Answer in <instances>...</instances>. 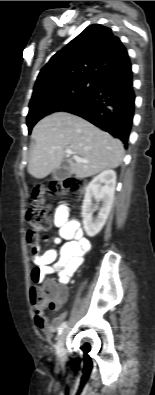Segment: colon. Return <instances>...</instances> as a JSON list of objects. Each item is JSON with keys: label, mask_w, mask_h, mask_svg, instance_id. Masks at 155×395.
Instances as JSON below:
<instances>
[{"label": "colon", "mask_w": 155, "mask_h": 395, "mask_svg": "<svg viewBox=\"0 0 155 395\" xmlns=\"http://www.w3.org/2000/svg\"><path fill=\"white\" fill-rule=\"evenodd\" d=\"M84 187V181L75 177H68L60 181H52L48 185V190L53 194H63L65 192H77ZM45 190L36 188L33 193V202L26 212V220L30 229L27 232V243L32 247L34 240H41L44 234L51 228L50 207L45 198ZM34 261V260H32ZM30 296L35 307H40L46 300L60 298L62 289L51 281H32ZM54 306L53 303L50 304Z\"/></svg>", "instance_id": "5ec220e1"}]
</instances>
